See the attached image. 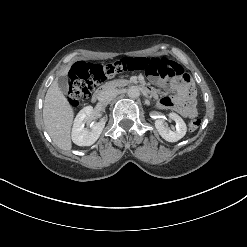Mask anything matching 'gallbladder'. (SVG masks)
<instances>
[{
	"instance_id": "obj_1",
	"label": "gallbladder",
	"mask_w": 247,
	"mask_h": 247,
	"mask_svg": "<svg viewBox=\"0 0 247 247\" xmlns=\"http://www.w3.org/2000/svg\"><path fill=\"white\" fill-rule=\"evenodd\" d=\"M57 81H58V86L60 90L64 94H66L68 91V79L65 76H60Z\"/></svg>"
}]
</instances>
